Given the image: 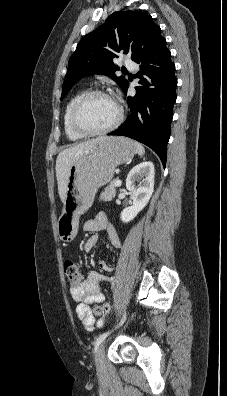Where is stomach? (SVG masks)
I'll list each match as a JSON object with an SVG mask.
<instances>
[{
    "instance_id": "stomach-1",
    "label": "stomach",
    "mask_w": 227,
    "mask_h": 396,
    "mask_svg": "<svg viewBox=\"0 0 227 396\" xmlns=\"http://www.w3.org/2000/svg\"><path fill=\"white\" fill-rule=\"evenodd\" d=\"M135 153L132 140L104 137L71 165L64 208L57 221L61 241L70 242L76 237L79 217L91 207L98 188L109 183L115 168L129 162Z\"/></svg>"
}]
</instances>
